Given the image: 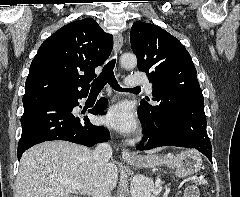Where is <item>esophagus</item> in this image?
Instances as JSON below:
<instances>
[{
    "label": "esophagus",
    "instance_id": "34e87169",
    "mask_svg": "<svg viewBox=\"0 0 240 197\" xmlns=\"http://www.w3.org/2000/svg\"><path fill=\"white\" fill-rule=\"evenodd\" d=\"M123 45V36L121 33H117L114 37V55H118V53L121 51V47ZM122 158L125 161L135 160L137 159V156L133 153H131L128 149H122L121 152Z\"/></svg>",
    "mask_w": 240,
    "mask_h": 197
}]
</instances>
